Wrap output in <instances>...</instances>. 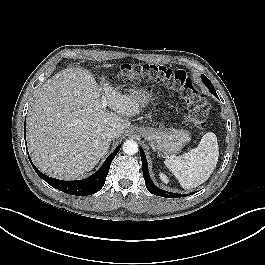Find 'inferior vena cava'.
<instances>
[{
    "mask_svg": "<svg viewBox=\"0 0 265 265\" xmlns=\"http://www.w3.org/2000/svg\"><path fill=\"white\" fill-rule=\"evenodd\" d=\"M106 136L109 139H115L117 137V132L115 130H113V129H110V130L107 131Z\"/></svg>",
    "mask_w": 265,
    "mask_h": 265,
    "instance_id": "1",
    "label": "inferior vena cava"
}]
</instances>
